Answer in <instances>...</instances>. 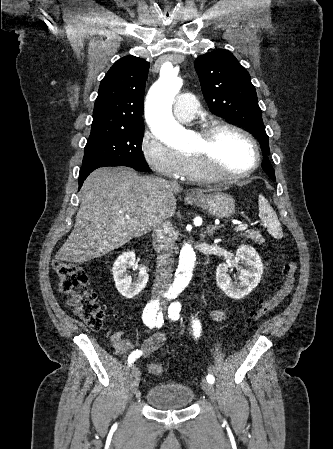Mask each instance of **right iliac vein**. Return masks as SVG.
Instances as JSON below:
<instances>
[{"instance_id": "1", "label": "right iliac vein", "mask_w": 333, "mask_h": 449, "mask_svg": "<svg viewBox=\"0 0 333 449\" xmlns=\"http://www.w3.org/2000/svg\"><path fill=\"white\" fill-rule=\"evenodd\" d=\"M140 382V370L134 365L130 375V398L136 393Z\"/></svg>"}]
</instances>
